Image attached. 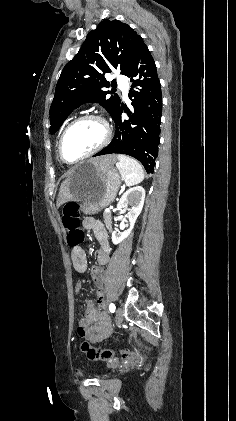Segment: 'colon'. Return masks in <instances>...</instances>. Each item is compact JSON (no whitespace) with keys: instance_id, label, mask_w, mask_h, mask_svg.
I'll return each instance as SVG.
<instances>
[{"instance_id":"5ec220e1","label":"colon","mask_w":236,"mask_h":421,"mask_svg":"<svg viewBox=\"0 0 236 421\" xmlns=\"http://www.w3.org/2000/svg\"><path fill=\"white\" fill-rule=\"evenodd\" d=\"M61 218L64 228L68 231V245L72 248H78L84 240V233L80 229V213L78 204L75 202L66 203L63 206ZM77 254L78 250L75 253V257ZM81 350L88 359L94 361H109L115 355V351L113 350L96 348L91 346L88 342H83L81 344ZM143 351L144 347L140 344L133 350L122 349L118 353L124 359H135L142 355Z\"/></svg>"}]
</instances>
